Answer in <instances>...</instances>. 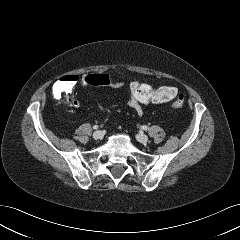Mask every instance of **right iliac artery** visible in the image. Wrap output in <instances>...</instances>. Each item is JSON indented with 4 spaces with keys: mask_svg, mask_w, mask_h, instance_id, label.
Wrapping results in <instances>:
<instances>
[{
    "mask_svg": "<svg viewBox=\"0 0 240 240\" xmlns=\"http://www.w3.org/2000/svg\"><path fill=\"white\" fill-rule=\"evenodd\" d=\"M98 128H99L98 125H94V126H93V129H98Z\"/></svg>",
    "mask_w": 240,
    "mask_h": 240,
    "instance_id": "obj_1",
    "label": "right iliac artery"
}]
</instances>
